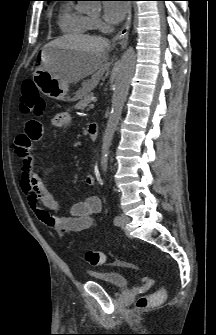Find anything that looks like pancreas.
Returning <instances> with one entry per match:
<instances>
[{"label":"pancreas","instance_id":"obj_1","mask_svg":"<svg viewBox=\"0 0 216 335\" xmlns=\"http://www.w3.org/2000/svg\"><path fill=\"white\" fill-rule=\"evenodd\" d=\"M91 89L88 86L82 88V94L80 101L75 105V109H84L92 101L93 93L90 92Z\"/></svg>","mask_w":216,"mask_h":335}]
</instances>
